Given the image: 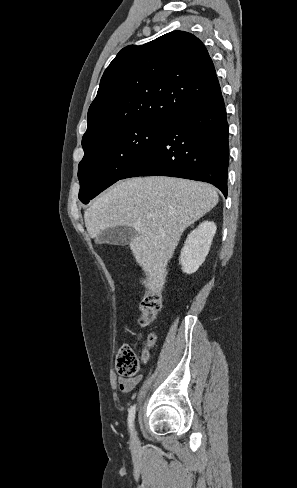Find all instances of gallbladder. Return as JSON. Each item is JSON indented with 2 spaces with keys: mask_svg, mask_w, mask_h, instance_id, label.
<instances>
[{
  "mask_svg": "<svg viewBox=\"0 0 297 488\" xmlns=\"http://www.w3.org/2000/svg\"><path fill=\"white\" fill-rule=\"evenodd\" d=\"M137 232L130 226H115L104 229L98 236L99 244L126 245L136 236Z\"/></svg>",
  "mask_w": 297,
  "mask_h": 488,
  "instance_id": "1",
  "label": "gallbladder"
}]
</instances>
